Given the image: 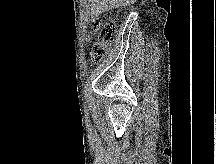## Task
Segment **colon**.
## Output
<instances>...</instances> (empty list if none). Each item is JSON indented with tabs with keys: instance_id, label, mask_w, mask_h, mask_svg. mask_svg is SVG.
Returning a JSON list of instances; mask_svg holds the SVG:
<instances>
[{
	"instance_id": "colon-1",
	"label": "colon",
	"mask_w": 216,
	"mask_h": 164,
	"mask_svg": "<svg viewBox=\"0 0 216 164\" xmlns=\"http://www.w3.org/2000/svg\"><path fill=\"white\" fill-rule=\"evenodd\" d=\"M91 27L98 34V40L91 50V59L94 62H99L106 56L109 44L115 39L116 26L115 23L111 21L105 23L94 21Z\"/></svg>"
}]
</instances>
